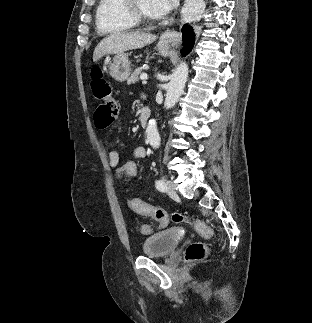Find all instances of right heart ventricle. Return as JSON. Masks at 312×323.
Returning <instances> with one entry per match:
<instances>
[{"instance_id":"e07e8e85","label":"right heart ventricle","mask_w":312,"mask_h":323,"mask_svg":"<svg viewBox=\"0 0 312 323\" xmlns=\"http://www.w3.org/2000/svg\"><path fill=\"white\" fill-rule=\"evenodd\" d=\"M94 25L98 33H116L117 29H134V18H130V9L125 1L99 0L95 5Z\"/></svg>"}]
</instances>
